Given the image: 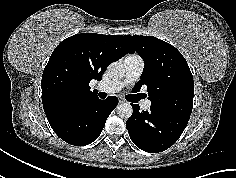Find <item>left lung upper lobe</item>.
Returning a JSON list of instances; mask_svg holds the SVG:
<instances>
[{
    "mask_svg": "<svg viewBox=\"0 0 236 178\" xmlns=\"http://www.w3.org/2000/svg\"><path fill=\"white\" fill-rule=\"evenodd\" d=\"M127 40L145 63L135 91L147 85L152 105L190 116L194 84L183 55L171 44L153 36H127Z\"/></svg>",
    "mask_w": 236,
    "mask_h": 178,
    "instance_id": "obj_1",
    "label": "left lung upper lobe"
}]
</instances>
